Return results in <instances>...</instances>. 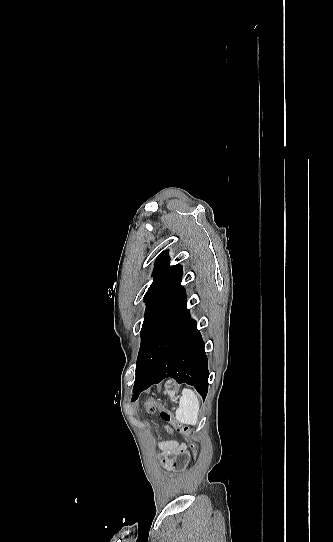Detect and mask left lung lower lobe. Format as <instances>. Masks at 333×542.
Segmentation results:
<instances>
[{"instance_id":"1","label":"left lung lower lobe","mask_w":333,"mask_h":542,"mask_svg":"<svg viewBox=\"0 0 333 542\" xmlns=\"http://www.w3.org/2000/svg\"><path fill=\"white\" fill-rule=\"evenodd\" d=\"M186 300L157 332L147 348L133 387L135 401L151 385L167 377L195 387L205 399L208 391V358L197 323Z\"/></svg>"}]
</instances>
